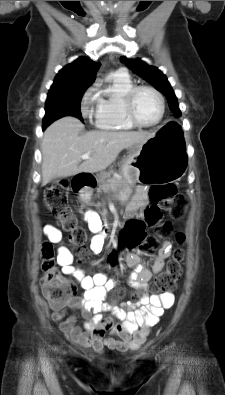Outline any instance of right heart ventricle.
<instances>
[{"label": "right heart ventricle", "instance_id": "obj_1", "mask_svg": "<svg viewBox=\"0 0 225 395\" xmlns=\"http://www.w3.org/2000/svg\"><path fill=\"white\" fill-rule=\"evenodd\" d=\"M134 86L126 73L114 72L106 76L104 84L95 95V126L102 130L134 129L124 113L123 101L126 93Z\"/></svg>", "mask_w": 225, "mask_h": 395}]
</instances>
